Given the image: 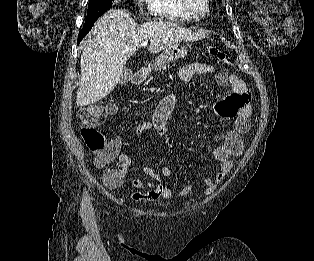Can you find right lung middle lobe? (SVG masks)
Wrapping results in <instances>:
<instances>
[{"instance_id": "dd1d6c3e", "label": "right lung middle lobe", "mask_w": 314, "mask_h": 261, "mask_svg": "<svg viewBox=\"0 0 314 261\" xmlns=\"http://www.w3.org/2000/svg\"><path fill=\"white\" fill-rule=\"evenodd\" d=\"M114 0H89L87 18L84 25L94 23L102 14L112 7Z\"/></svg>"}]
</instances>
